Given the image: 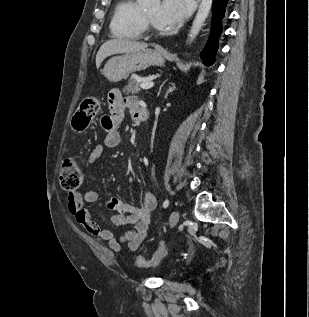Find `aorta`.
Wrapping results in <instances>:
<instances>
[{
    "mask_svg": "<svg viewBox=\"0 0 309 317\" xmlns=\"http://www.w3.org/2000/svg\"><path fill=\"white\" fill-rule=\"evenodd\" d=\"M140 1L145 7H148L160 2V0H140ZM212 2L213 0H201L195 19L190 29L189 42H192L195 39V37L198 35V33L200 32L206 18L209 15Z\"/></svg>",
    "mask_w": 309,
    "mask_h": 317,
    "instance_id": "aorta-1",
    "label": "aorta"
}]
</instances>
